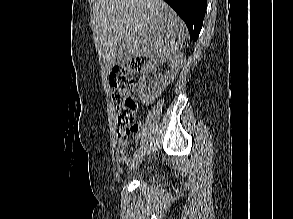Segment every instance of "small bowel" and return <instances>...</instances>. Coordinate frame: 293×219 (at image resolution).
<instances>
[{
    "label": "small bowel",
    "mask_w": 293,
    "mask_h": 219,
    "mask_svg": "<svg viewBox=\"0 0 293 219\" xmlns=\"http://www.w3.org/2000/svg\"><path fill=\"white\" fill-rule=\"evenodd\" d=\"M117 142L119 146V153L122 162H126L128 157L126 155V148L129 145V136L117 131Z\"/></svg>",
    "instance_id": "c3829d8e"
}]
</instances>
